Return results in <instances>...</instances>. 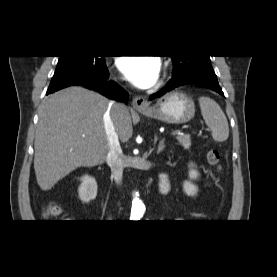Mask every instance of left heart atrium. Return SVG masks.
<instances>
[{
  "mask_svg": "<svg viewBox=\"0 0 277 277\" xmlns=\"http://www.w3.org/2000/svg\"><path fill=\"white\" fill-rule=\"evenodd\" d=\"M117 67L123 76L139 88L152 86L160 72V62L155 57H121Z\"/></svg>",
  "mask_w": 277,
  "mask_h": 277,
  "instance_id": "1",
  "label": "left heart atrium"
}]
</instances>
